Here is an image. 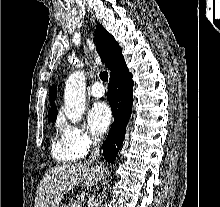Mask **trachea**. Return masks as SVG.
Wrapping results in <instances>:
<instances>
[{
  "label": "trachea",
  "mask_w": 220,
  "mask_h": 207,
  "mask_svg": "<svg viewBox=\"0 0 220 207\" xmlns=\"http://www.w3.org/2000/svg\"><path fill=\"white\" fill-rule=\"evenodd\" d=\"M100 79L104 82H107L108 81V72H106V71L101 72Z\"/></svg>",
  "instance_id": "obj_1"
}]
</instances>
